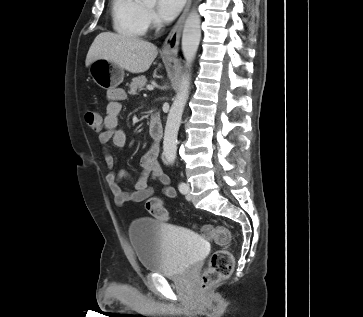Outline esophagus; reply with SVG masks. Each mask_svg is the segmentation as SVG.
<instances>
[{"label":"esophagus","instance_id":"34e87169","mask_svg":"<svg viewBox=\"0 0 363 317\" xmlns=\"http://www.w3.org/2000/svg\"><path fill=\"white\" fill-rule=\"evenodd\" d=\"M192 0H187L186 6L183 10V13L179 17L176 24L173 26L172 30L168 34L167 38L165 39L163 48H162V55L168 58H175L178 54V48L180 43V38L184 26V22L188 11L190 9Z\"/></svg>","mask_w":363,"mask_h":317}]
</instances>
